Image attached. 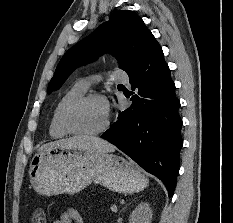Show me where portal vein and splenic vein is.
<instances>
[{
	"label": "portal vein and splenic vein",
	"instance_id": "1",
	"mask_svg": "<svg viewBox=\"0 0 233 223\" xmlns=\"http://www.w3.org/2000/svg\"><path fill=\"white\" fill-rule=\"evenodd\" d=\"M111 209H112V211H115V213H116V211H117V205H111Z\"/></svg>",
	"mask_w": 233,
	"mask_h": 223
}]
</instances>
